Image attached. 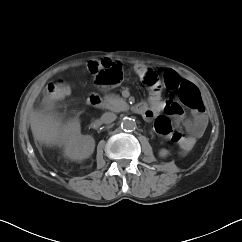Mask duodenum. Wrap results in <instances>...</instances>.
Returning a JSON list of instances; mask_svg holds the SVG:
<instances>
[{
    "label": "duodenum",
    "instance_id": "obj_1",
    "mask_svg": "<svg viewBox=\"0 0 242 242\" xmlns=\"http://www.w3.org/2000/svg\"><path fill=\"white\" fill-rule=\"evenodd\" d=\"M88 103L93 107H102L104 101L99 93H91L88 95ZM132 111L139 115H143L147 111V106L143 103L132 106Z\"/></svg>",
    "mask_w": 242,
    "mask_h": 242
}]
</instances>
